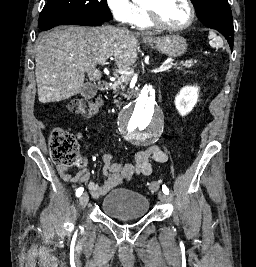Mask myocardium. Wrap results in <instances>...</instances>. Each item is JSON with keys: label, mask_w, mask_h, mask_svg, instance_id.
I'll use <instances>...</instances> for the list:
<instances>
[{"label": "myocardium", "mask_w": 256, "mask_h": 267, "mask_svg": "<svg viewBox=\"0 0 256 267\" xmlns=\"http://www.w3.org/2000/svg\"><path fill=\"white\" fill-rule=\"evenodd\" d=\"M149 1H163V0H146L145 1V7H146V15H145V21H152L153 19V11L152 8L149 6ZM182 1L189 10V18L188 20L179 26H173V25H152L149 28H155L159 31H167V32H178V31H183L187 28H189L194 20H195V9L193 4L189 0H180Z\"/></svg>", "instance_id": "obj_1"}]
</instances>
